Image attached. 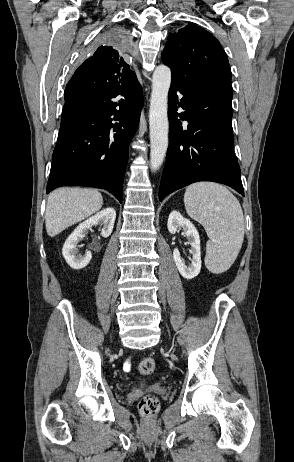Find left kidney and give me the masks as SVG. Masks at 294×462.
Segmentation results:
<instances>
[{
  "label": "left kidney",
  "mask_w": 294,
  "mask_h": 462,
  "mask_svg": "<svg viewBox=\"0 0 294 462\" xmlns=\"http://www.w3.org/2000/svg\"><path fill=\"white\" fill-rule=\"evenodd\" d=\"M168 231L175 234L179 227H182L191 245L192 254L191 264L187 266L180 255L179 250H173V258L177 269L185 279H193L201 270L200 236L192 222L184 218L178 211H172L167 223Z\"/></svg>",
  "instance_id": "left-kidney-1"
}]
</instances>
